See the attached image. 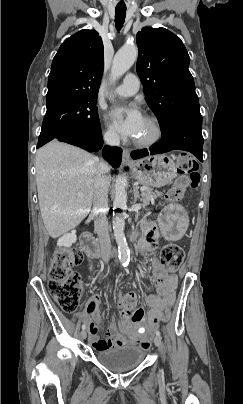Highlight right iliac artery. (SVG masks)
I'll use <instances>...</instances> for the list:
<instances>
[{"label":"right iliac artery","mask_w":243,"mask_h":404,"mask_svg":"<svg viewBox=\"0 0 243 404\" xmlns=\"http://www.w3.org/2000/svg\"><path fill=\"white\" fill-rule=\"evenodd\" d=\"M85 328H86V326L83 324V325H82V330H84Z\"/></svg>","instance_id":"obj_1"}]
</instances>
